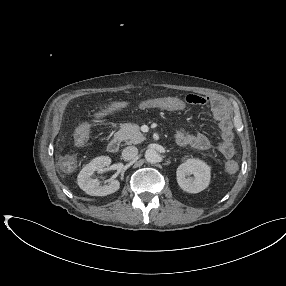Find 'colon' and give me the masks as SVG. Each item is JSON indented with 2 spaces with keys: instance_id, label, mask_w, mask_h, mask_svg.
<instances>
[{
  "instance_id": "obj_1",
  "label": "colon",
  "mask_w": 286,
  "mask_h": 286,
  "mask_svg": "<svg viewBox=\"0 0 286 286\" xmlns=\"http://www.w3.org/2000/svg\"><path fill=\"white\" fill-rule=\"evenodd\" d=\"M89 131L90 126L88 124H83L82 126H80L74 136L75 143L78 145L85 144L89 137ZM63 161L68 167H73L76 162V159L73 155H66ZM236 168L237 165L234 162H229L226 165V169L228 172H234Z\"/></svg>"
}]
</instances>
